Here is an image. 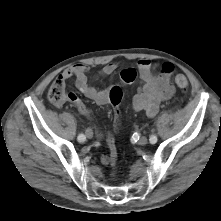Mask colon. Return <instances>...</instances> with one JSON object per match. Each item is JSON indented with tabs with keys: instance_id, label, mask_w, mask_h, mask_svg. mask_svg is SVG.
<instances>
[{
	"instance_id": "5ec220e1",
	"label": "colon",
	"mask_w": 221,
	"mask_h": 221,
	"mask_svg": "<svg viewBox=\"0 0 221 221\" xmlns=\"http://www.w3.org/2000/svg\"><path fill=\"white\" fill-rule=\"evenodd\" d=\"M163 74L172 76L175 84L182 90L186 91L188 89V80L183 74H174V66L170 63H164L161 67ZM122 90L119 86H112L110 89V100L113 105H118L122 99ZM48 99L53 104H62L66 101L70 103L79 104L80 99L73 93H68L66 91V85L59 79H56L50 86L48 90ZM116 118L119 117V112L115 113ZM108 148L109 155L111 157L112 166L116 165L117 162V149L116 141L113 134H110L108 138Z\"/></svg>"
}]
</instances>
